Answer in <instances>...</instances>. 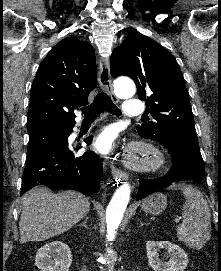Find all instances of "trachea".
<instances>
[{
	"mask_svg": "<svg viewBox=\"0 0 221 271\" xmlns=\"http://www.w3.org/2000/svg\"><path fill=\"white\" fill-rule=\"evenodd\" d=\"M84 114L83 121H94L103 111H108L112 115H122L121 110L114 105L111 98L104 92L98 93L91 105L81 109Z\"/></svg>",
	"mask_w": 221,
	"mask_h": 271,
	"instance_id": "trachea-1",
	"label": "trachea"
}]
</instances>
